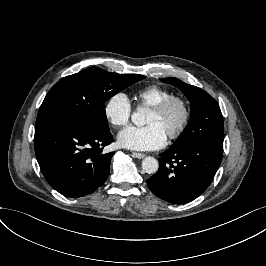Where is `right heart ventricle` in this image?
I'll use <instances>...</instances> for the list:
<instances>
[{"instance_id": "1", "label": "right heart ventricle", "mask_w": 266, "mask_h": 266, "mask_svg": "<svg viewBox=\"0 0 266 266\" xmlns=\"http://www.w3.org/2000/svg\"><path fill=\"white\" fill-rule=\"evenodd\" d=\"M170 95L173 92L169 88L153 84L137 89L134 97L139 105L152 107Z\"/></svg>"}]
</instances>
